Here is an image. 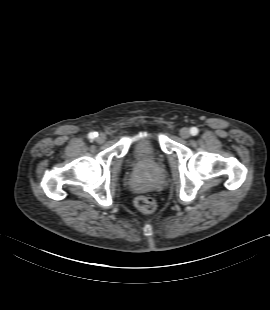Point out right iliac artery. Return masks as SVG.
I'll return each instance as SVG.
<instances>
[{"label":"right iliac artery","instance_id":"obj_1","mask_svg":"<svg viewBox=\"0 0 270 310\" xmlns=\"http://www.w3.org/2000/svg\"><path fill=\"white\" fill-rule=\"evenodd\" d=\"M97 135H98V134H97L96 132H91V133H89L88 137H89L90 139H94Z\"/></svg>","mask_w":270,"mask_h":310}]
</instances>
